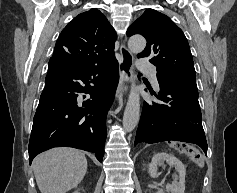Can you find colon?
<instances>
[{"instance_id": "1", "label": "colon", "mask_w": 237, "mask_h": 193, "mask_svg": "<svg viewBox=\"0 0 237 193\" xmlns=\"http://www.w3.org/2000/svg\"><path fill=\"white\" fill-rule=\"evenodd\" d=\"M182 150L198 166H202L203 165V163H204V156H203V154L200 151H198L196 149L188 148V147H183Z\"/></svg>"}]
</instances>
